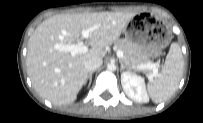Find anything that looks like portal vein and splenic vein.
I'll use <instances>...</instances> for the list:
<instances>
[{
    "mask_svg": "<svg viewBox=\"0 0 203 123\" xmlns=\"http://www.w3.org/2000/svg\"><path fill=\"white\" fill-rule=\"evenodd\" d=\"M97 29V26L90 27L89 29L82 30V37L84 39H87L89 37L90 32L94 31ZM55 49L60 50V51H68L72 55H76L78 53H85L88 51V48L86 45L83 43L80 44H58L55 46ZM117 57L120 59H123L124 53L121 50L116 51ZM133 68L137 70H152L153 73L150 76V78L157 77L158 76V64H152V63H147V64H140L138 66H132Z\"/></svg>",
    "mask_w": 203,
    "mask_h": 123,
    "instance_id": "18ae733b",
    "label": "portal vein and splenic vein"
}]
</instances>
